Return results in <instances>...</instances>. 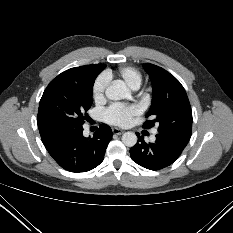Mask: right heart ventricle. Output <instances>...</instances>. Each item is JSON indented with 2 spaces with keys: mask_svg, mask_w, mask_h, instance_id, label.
Returning a JSON list of instances; mask_svg holds the SVG:
<instances>
[{
  "mask_svg": "<svg viewBox=\"0 0 233 233\" xmlns=\"http://www.w3.org/2000/svg\"><path fill=\"white\" fill-rule=\"evenodd\" d=\"M108 77H110V73H106ZM119 75L123 78L126 84L134 88L136 86H140L142 81L141 73L132 66H124L119 69Z\"/></svg>",
  "mask_w": 233,
  "mask_h": 233,
  "instance_id": "obj_1",
  "label": "right heart ventricle"
}]
</instances>
